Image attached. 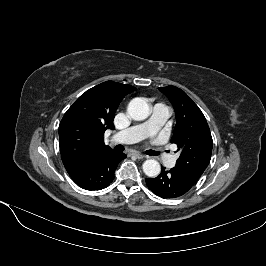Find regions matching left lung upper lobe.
Returning <instances> with one entry per match:
<instances>
[{
  "instance_id": "left-lung-upper-lobe-1",
  "label": "left lung upper lobe",
  "mask_w": 266,
  "mask_h": 266,
  "mask_svg": "<svg viewBox=\"0 0 266 266\" xmlns=\"http://www.w3.org/2000/svg\"><path fill=\"white\" fill-rule=\"evenodd\" d=\"M172 103L176 126L172 143L177 144L180 156L172 170L193 186L208 166L212 154V136L207 121L193 100L173 85L158 88Z\"/></svg>"
}]
</instances>
